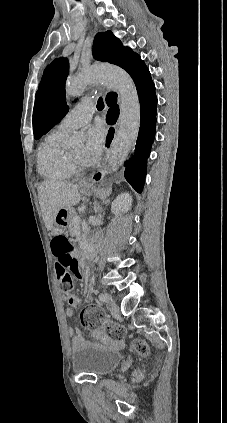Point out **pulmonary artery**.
Here are the masks:
<instances>
[{
	"mask_svg": "<svg viewBox=\"0 0 227 423\" xmlns=\"http://www.w3.org/2000/svg\"><path fill=\"white\" fill-rule=\"evenodd\" d=\"M93 104L90 100H83L78 103L63 118L58 127L65 131H71L88 124L92 117Z\"/></svg>",
	"mask_w": 227,
	"mask_h": 423,
	"instance_id": "e3ab8cb5",
	"label": "pulmonary artery"
}]
</instances>
